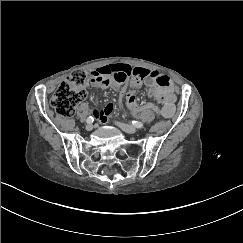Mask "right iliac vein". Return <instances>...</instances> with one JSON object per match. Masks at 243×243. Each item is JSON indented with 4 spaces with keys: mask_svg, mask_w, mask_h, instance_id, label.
Listing matches in <instances>:
<instances>
[{
    "mask_svg": "<svg viewBox=\"0 0 243 243\" xmlns=\"http://www.w3.org/2000/svg\"><path fill=\"white\" fill-rule=\"evenodd\" d=\"M93 129V125L91 124V123H88L87 125H86V130L87 131H91Z\"/></svg>",
    "mask_w": 243,
    "mask_h": 243,
    "instance_id": "obj_1",
    "label": "right iliac vein"
}]
</instances>
